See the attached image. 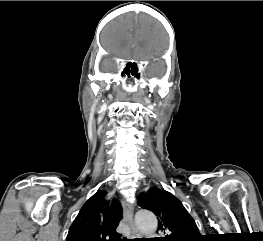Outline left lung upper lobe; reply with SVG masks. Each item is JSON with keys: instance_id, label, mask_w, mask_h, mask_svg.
Instances as JSON below:
<instances>
[{"instance_id": "left-lung-upper-lobe-1", "label": "left lung upper lobe", "mask_w": 263, "mask_h": 241, "mask_svg": "<svg viewBox=\"0 0 263 241\" xmlns=\"http://www.w3.org/2000/svg\"><path fill=\"white\" fill-rule=\"evenodd\" d=\"M138 204L158 216V230L166 234L165 237L156 238L157 241H202L194 219L185 207L171 193L150 188L138 197Z\"/></svg>"}]
</instances>
